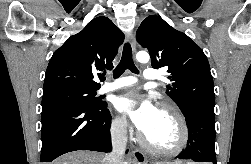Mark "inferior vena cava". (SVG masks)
Returning a JSON list of instances; mask_svg holds the SVG:
<instances>
[{
	"instance_id": "1",
	"label": "inferior vena cava",
	"mask_w": 251,
	"mask_h": 164,
	"mask_svg": "<svg viewBox=\"0 0 251 164\" xmlns=\"http://www.w3.org/2000/svg\"><path fill=\"white\" fill-rule=\"evenodd\" d=\"M113 151L109 156V164H123V155L127 145V120L118 121L111 129Z\"/></svg>"
}]
</instances>
